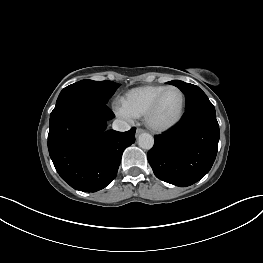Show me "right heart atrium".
<instances>
[{"instance_id": "obj_1", "label": "right heart atrium", "mask_w": 263, "mask_h": 263, "mask_svg": "<svg viewBox=\"0 0 263 263\" xmlns=\"http://www.w3.org/2000/svg\"><path fill=\"white\" fill-rule=\"evenodd\" d=\"M116 113L118 116H120L121 118L123 119H126V120H130L131 119V116L128 115L123 109L122 107H116Z\"/></svg>"}]
</instances>
